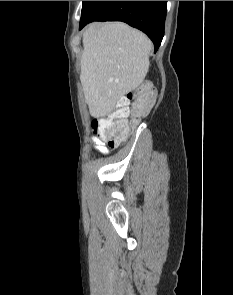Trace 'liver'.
I'll list each match as a JSON object with an SVG mask.
<instances>
[{
	"label": "liver",
	"instance_id": "6515ba94",
	"mask_svg": "<svg viewBox=\"0 0 233 295\" xmlns=\"http://www.w3.org/2000/svg\"><path fill=\"white\" fill-rule=\"evenodd\" d=\"M80 80L91 116L109 115L149 70L152 42L123 22L91 23L83 33Z\"/></svg>",
	"mask_w": 233,
	"mask_h": 295
}]
</instances>
